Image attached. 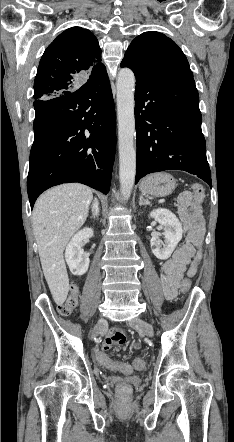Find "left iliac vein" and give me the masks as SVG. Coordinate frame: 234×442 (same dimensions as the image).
Returning a JSON list of instances; mask_svg holds the SVG:
<instances>
[{
    "instance_id": "1",
    "label": "left iliac vein",
    "mask_w": 234,
    "mask_h": 442,
    "mask_svg": "<svg viewBox=\"0 0 234 442\" xmlns=\"http://www.w3.org/2000/svg\"><path fill=\"white\" fill-rule=\"evenodd\" d=\"M129 325L138 331L144 332L147 336L152 337L154 330L151 324L142 320L141 318H135L129 322Z\"/></svg>"
}]
</instances>
